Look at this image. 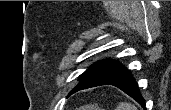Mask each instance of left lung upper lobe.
<instances>
[{"mask_svg": "<svg viewBox=\"0 0 171 110\" xmlns=\"http://www.w3.org/2000/svg\"><path fill=\"white\" fill-rule=\"evenodd\" d=\"M120 63H118L115 60H103L99 61L95 64H93L91 67H89L82 75L80 78V82L78 85H81L86 82H90L103 73L107 72L108 70L115 68L119 66ZM77 85V86H78Z\"/></svg>", "mask_w": 171, "mask_h": 110, "instance_id": "obj_1", "label": "left lung upper lobe"}]
</instances>
